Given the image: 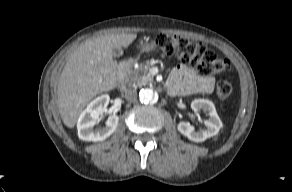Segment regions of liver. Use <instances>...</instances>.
I'll list each match as a JSON object with an SVG mask.
<instances>
[{"mask_svg":"<svg viewBox=\"0 0 292 192\" xmlns=\"http://www.w3.org/2000/svg\"><path fill=\"white\" fill-rule=\"evenodd\" d=\"M135 33L99 36L80 44L63 68L57 104L63 123L73 128L85 106L98 94L117 87V61L112 49L127 48Z\"/></svg>","mask_w":292,"mask_h":192,"instance_id":"liver-1","label":"liver"}]
</instances>
